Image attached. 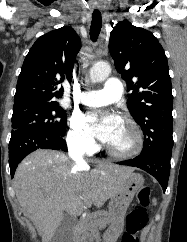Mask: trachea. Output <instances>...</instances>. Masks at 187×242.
<instances>
[{
	"label": "trachea",
	"instance_id": "trachea-1",
	"mask_svg": "<svg viewBox=\"0 0 187 242\" xmlns=\"http://www.w3.org/2000/svg\"><path fill=\"white\" fill-rule=\"evenodd\" d=\"M102 27V18L100 12H94L92 14V22L90 27V37L93 42L97 41Z\"/></svg>",
	"mask_w": 187,
	"mask_h": 242
}]
</instances>
